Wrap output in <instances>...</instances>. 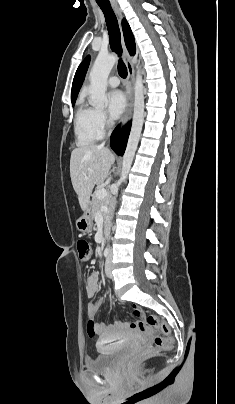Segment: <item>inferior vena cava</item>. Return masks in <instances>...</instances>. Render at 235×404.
I'll list each match as a JSON object with an SVG mask.
<instances>
[{
  "instance_id": "obj_1",
  "label": "inferior vena cava",
  "mask_w": 235,
  "mask_h": 404,
  "mask_svg": "<svg viewBox=\"0 0 235 404\" xmlns=\"http://www.w3.org/2000/svg\"><path fill=\"white\" fill-rule=\"evenodd\" d=\"M108 125H113V122L111 120H109Z\"/></svg>"
}]
</instances>
